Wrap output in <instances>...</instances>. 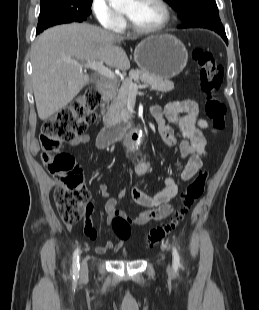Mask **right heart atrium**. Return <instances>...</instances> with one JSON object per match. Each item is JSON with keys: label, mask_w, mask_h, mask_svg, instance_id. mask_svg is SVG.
<instances>
[{"label": "right heart atrium", "mask_w": 259, "mask_h": 310, "mask_svg": "<svg viewBox=\"0 0 259 310\" xmlns=\"http://www.w3.org/2000/svg\"><path fill=\"white\" fill-rule=\"evenodd\" d=\"M91 9L97 21L104 28L115 32L125 28L123 15L116 12L107 0H92Z\"/></svg>", "instance_id": "obj_1"}]
</instances>
